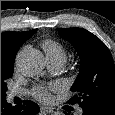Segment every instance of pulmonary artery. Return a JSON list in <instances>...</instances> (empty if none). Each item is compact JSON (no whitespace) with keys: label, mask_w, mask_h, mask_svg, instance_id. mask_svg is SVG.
Wrapping results in <instances>:
<instances>
[{"label":"pulmonary artery","mask_w":115,"mask_h":115,"mask_svg":"<svg viewBox=\"0 0 115 115\" xmlns=\"http://www.w3.org/2000/svg\"><path fill=\"white\" fill-rule=\"evenodd\" d=\"M64 62L65 61L61 58H47L48 67L52 71H60L63 68ZM22 94L23 91L20 89H11L8 93V97L12 99L14 97H19ZM78 111L81 112V109H79Z\"/></svg>","instance_id":"1"}]
</instances>
